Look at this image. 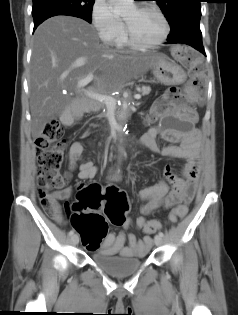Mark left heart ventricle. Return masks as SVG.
<instances>
[{"label": "left heart ventricle", "instance_id": "1", "mask_svg": "<svg viewBox=\"0 0 238 315\" xmlns=\"http://www.w3.org/2000/svg\"><path fill=\"white\" fill-rule=\"evenodd\" d=\"M123 19L129 24L133 36L140 42H155L163 34V23L152 11L137 10L135 6H132Z\"/></svg>", "mask_w": 238, "mask_h": 315}]
</instances>
